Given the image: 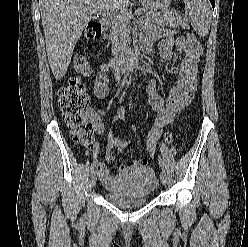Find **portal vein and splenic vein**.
I'll use <instances>...</instances> for the list:
<instances>
[{"instance_id": "18ae733b", "label": "portal vein and splenic vein", "mask_w": 248, "mask_h": 247, "mask_svg": "<svg viewBox=\"0 0 248 247\" xmlns=\"http://www.w3.org/2000/svg\"><path fill=\"white\" fill-rule=\"evenodd\" d=\"M135 12H136L137 14H139V13H140V9H137ZM109 15H111V16H113V17H115V16H120V14H117V13H109Z\"/></svg>"}]
</instances>
